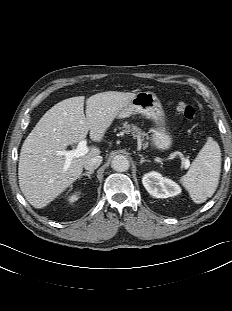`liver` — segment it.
I'll return each mask as SVG.
<instances>
[{"instance_id": "1", "label": "liver", "mask_w": 232, "mask_h": 311, "mask_svg": "<svg viewBox=\"0 0 232 311\" xmlns=\"http://www.w3.org/2000/svg\"><path fill=\"white\" fill-rule=\"evenodd\" d=\"M135 95L117 91L92 95L86 100V115L85 97H72L55 104L42 116L22 145L18 165L20 189L33 207L47 206L81 176L84 162L101 152L91 146L87 154L73 158L64 172L66 158L59 151L84 140L89 131L91 139L100 142Z\"/></svg>"}]
</instances>
